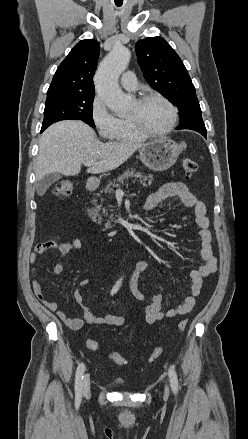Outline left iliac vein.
<instances>
[{"mask_svg":"<svg viewBox=\"0 0 248 439\" xmlns=\"http://www.w3.org/2000/svg\"><path fill=\"white\" fill-rule=\"evenodd\" d=\"M168 393H169L168 386H165V394L168 395Z\"/></svg>","mask_w":248,"mask_h":439,"instance_id":"obj_1","label":"left iliac vein"}]
</instances>
